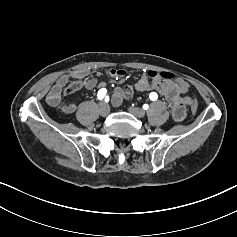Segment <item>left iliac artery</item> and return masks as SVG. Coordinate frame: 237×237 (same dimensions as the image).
I'll return each instance as SVG.
<instances>
[{
	"mask_svg": "<svg viewBox=\"0 0 237 237\" xmlns=\"http://www.w3.org/2000/svg\"><path fill=\"white\" fill-rule=\"evenodd\" d=\"M149 98L152 100V101H155L157 100L158 98V95L157 93L155 92H151L150 95H149ZM149 108V106L147 104L143 105V109L147 110Z\"/></svg>",
	"mask_w": 237,
	"mask_h": 237,
	"instance_id": "1",
	"label": "left iliac artery"
}]
</instances>
